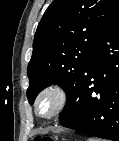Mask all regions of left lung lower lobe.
Returning <instances> with one entry per match:
<instances>
[{
    "label": "left lung lower lobe",
    "instance_id": "left-lung-lower-lobe-1",
    "mask_svg": "<svg viewBox=\"0 0 119 141\" xmlns=\"http://www.w3.org/2000/svg\"><path fill=\"white\" fill-rule=\"evenodd\" d=\"M59 121L78 132L119 141V12L99 38Z\"/></svg>",
    "mask_w": 119,
    "mask_h": 141
}]
</instances>
